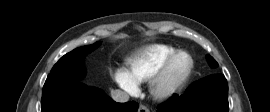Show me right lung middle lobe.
I'll list each match as a JSON object with an SVG mask.
<instances>
[{
	"instance_id": "1",
	"label": "right lung middle lobe",
	"mask_w": 270,
	"mask_h": 112,
	"mask_svg": "<svg viewBox=\"0 0 270 112\" xmlns=\"http://www.w3.org/2000/svg\"><path fill=\"white\" fill-rule=\"evenodd\" d=\"M99 45L100 42H96L93 45L79 47L61 57L53 66L46 82L57 84L67 80L75 82L83 78V59L86 54L92 52Z\"/></svg>"
}]
</instances>
